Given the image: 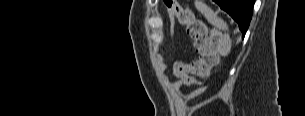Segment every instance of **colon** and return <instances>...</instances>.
I'll return each mask as SVG.
<instances>
[{
    "label": "colon",
    "instance_id": "1",
    "mask_svg": "<svg viewBox=\"0 0 305 116\" xmlns=\"http://www.w3.org/2000/svg\"><path fill=\"white\" fill-rule=\"evenodd\" d=\"M168 10L186 26L189 36L194 41L196 58L190 63L178 62L173 72L176 78L188 85H200L206 79L217 62V53L211 35L204 23L188 8L177 0H165Z\"/></svg>",
    "mask_w": 305,
    "mask_h": 116
}]
</instances>
